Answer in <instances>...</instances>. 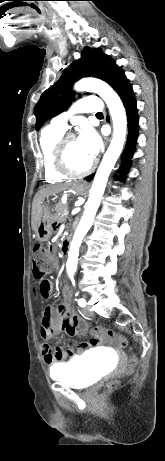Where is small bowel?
Returning a JSON list of instances; mask_svg holds the SVG:
<instances>
[{"mask_svg":"<svg viewBox=\"0 0 165 461\" xmlns=\"http://www.w3.org/2000/svg\"><path fill=\"white\" fill-rule=\"evenodd\" d=\"M54 284L52 281L44 279L39 284L41 296L48 299L52 296ZM72 297V290L68 285L63 288L62 302L57 310L51 307L45 308L41 318L40 335L44 340L51 339L54 335L65 332L70 336L83 335L87 326L85 321L72 314L69 310V302ZM80 346L76 347L78 354H93L102 343V336L81 337ZM41 353L44 362L53 367L63 361L70 359L74 350L69 348L63 350L60 346L50 347L48 344L41 346Z\"/></svg>","mask_w":165,"mask_h":461,"instance_id":"1","label":"small bowel"}]
</instances>
